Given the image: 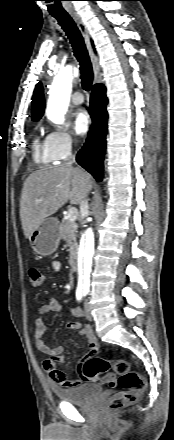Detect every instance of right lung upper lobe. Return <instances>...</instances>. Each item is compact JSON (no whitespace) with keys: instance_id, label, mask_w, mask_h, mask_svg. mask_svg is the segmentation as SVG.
Here are the masks:
<instances>
[{"instance_id":"1","label":"right lung upper lobe","mask_w":174,"mask_h":440,"mask_svg":"<svg viewBox=\"0 0 174 440\" xmlns=\"http://www.w3.org/2000/svg\"><path fill=\"white\" fill-rule=\"evenodd\" d=\"M44 94L42 84L38 83L32 97V120H39L44 112Z\"/></svg>"}]
</instances>
